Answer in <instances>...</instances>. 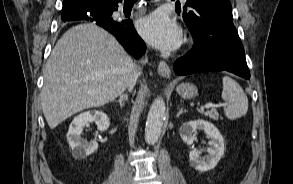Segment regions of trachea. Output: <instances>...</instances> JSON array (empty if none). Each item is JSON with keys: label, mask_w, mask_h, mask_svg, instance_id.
Returning a JSON list of instances; mask_svg holds the SVG:
<instances>
[{"label": "trachea", "mask_w": 293, "mask_h": 184, "mask_svg": "<svg viewBox=\"0 0 293 184\" xmlns=\"http://www.w3.org/2000/svg\"><path fill=\"white\" fill-rule=\"evenodd\" d=\"M137 0H125V4L135 3Z\"/></svg>", "instance_id": "obj_1"}]
</instances>
